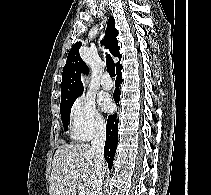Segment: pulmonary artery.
<instances>
[{"label": "pulmonary artery", "mask_w": 211, "mask_h": 195, "mask_svg": "<svg viewBox=\"0 0 211 195\" xmlns=\"http://www.w3.org/2000/svg\"><path fill=\"white\" fill-rule=\"evenodd\" d=\"M101 86L106 89L110 90L113 87V81L111 80L109 74L105 73L100 79Z\"/></svg>", "instance_id": "pulmonary-artery-1"}]
</instances>
